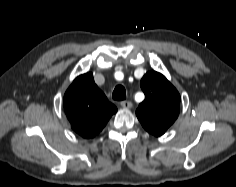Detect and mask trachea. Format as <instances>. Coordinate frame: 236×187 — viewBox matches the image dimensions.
Here are the masks:
<instances>
[{"instance_id": "3493384b", "label": "trachea", "mask_w": 236, "mask_h": 187, "mask_svg": "<svg viewBox=\"0 0 236 187\" xmlns=\"http://www.w3.org/2000/svg\"><path fill=\"white\" fill-rule=\"evenodd\" d=\"M112 97L114 100L122 101L126 99V90L124 86L117 85L113 91Z\"/></svg>"}]
</instances>
